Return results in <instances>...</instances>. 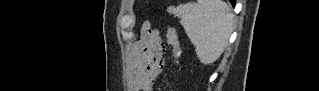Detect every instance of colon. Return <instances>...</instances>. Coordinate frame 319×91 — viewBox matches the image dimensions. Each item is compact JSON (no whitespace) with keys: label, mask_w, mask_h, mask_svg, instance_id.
I'll use <instances>...</instances> for the list:
<instances>
[{"label":"colon","mask_w":319,"mask_h":91,"mask_svg":"<svg viewBox=\"0 0 319 91\" xmlns=\"http://www.w3.org/2000/svg\"><path fill=\"white\" fill-rule=\"evenodd\" d=\"M167 41H168V44L172 47L173 65H174V67H176L178 64L180 49H179V39H178L177 31L172 26H170L168 28ZM153 60H154V53L148 52V54L144 58V64L146 66H150L153 63ZM169 90H171V89H169Z\"/></svg>","instance_id":"colon-1"}]
</instances>
